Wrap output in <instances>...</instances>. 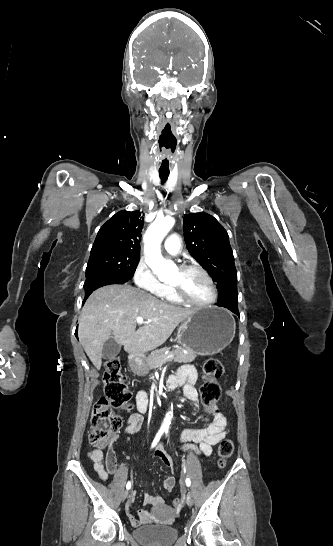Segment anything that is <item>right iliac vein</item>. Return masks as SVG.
<instances>
[{"mask_svg": "<svg viewBox=\"0 0 333 546\" xmlns=\"http://www.w3.org/2000/svg\"><path fill=\"white\" fill-rule=\"evenodd\" d=\"M127 495H128V491L125 490V491L122 493V496H121V498H122L123 501L127 498Z\"/></svg>", "mask_w": 333, "mask_h": 546, "instance_id": "right-iliac-vein-1", "label": "right iliac vein"}]
</instances>
